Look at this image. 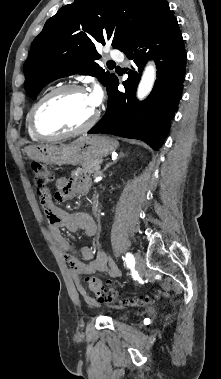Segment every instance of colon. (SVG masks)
I'll return each instance as SVG.
<instances>
[{"instance_id":"colon-1","label":"colon","mask_w":221,"mask_h":379,"mask_svg":"<svg viewBox=\"0 0 221 379\" xmlns=\"http://www.w3.org/2000/svg\"><path fill=\"white\" fill-rule=\"evenodd\" d=\"M33 182L37 187V193L40 200H44L50 194V184L53 181L52 171L41 163H33ZM89 289L95 294L100 301H107L113 298L111 291L96 277L86 279ZM149 297H137L129 301L130 304H144L149 302Z\"/></svg>"}]
</instances>
